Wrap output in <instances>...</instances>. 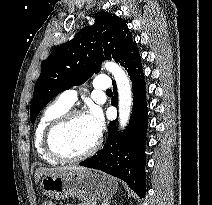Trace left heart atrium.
Masks as SVG:
<instances>
[{
    "mask_svg": "<svg viewBox=\"0 0 212 205\" xmlns=\"http://www.w3.org/2000/svg\"><path fill=\"white\" fill-rule=\"evenodd\" d=\"M84 117L92 132L96 137H99L104 127V121L101 113L97 109H92Z\"/></svg>",
    "mask_w": 212,
    "mask_h": 205,
    "instance_id": "obj_1",
    "label": "left heart atrium"
}]
</instances>
